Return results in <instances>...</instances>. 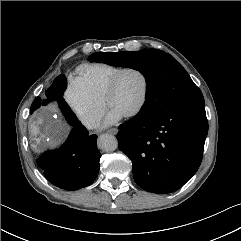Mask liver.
Returning <instances> with one entry per match:
<instances>
[{
    "label": "liver",
    "mask_w": 241,
    "mask_h": 241,
    "mask_svg": "<svg viewBox=\"0 0 241 241\" xmlns=\"http://www.w3.org/2000/svg\"><path fill=\"white\" fill-rule=\"evenodd\" d=\"M40 122L42 123V120ZM52 125L53 129L50 136V142L52 144H57L66 136L68 127L65 126L60 120L53 121ZM34 131L38 132V128L34 127Z\"/></svg>",
    "instance_id": "1"
}]
</instances>
